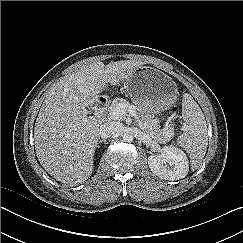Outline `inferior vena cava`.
<instances>
[{
	"label": "inferior vena cava",
	"instance_id": "602c4592",
	"mask_svg": "<svg viewBox=\"0 0 243 243\" xmlns=\"http://www.w3.org/2000/svg\"><path fill=\"white\" fill-rule=\"evenodd\" d=\"M122 130V124L118 121H111L102 124L99 128V135L102 139H108L119 134Z\"/></svg>",
	"mask_w": 243,
	"mask_h": 243
}]
</instances>
